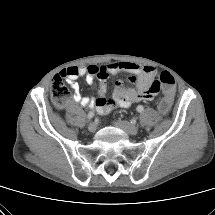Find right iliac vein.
<instances>
[{
	"instance_id": "1",
	"label": "right iliac vein",
	"mask_w": 215,
	"mask_h": 215,
	"mask_svg": "<svg viewBox=\"0 0 215 215\" xmlns=\"http://www.w3.org/2000/svg\"><path fill=\"white\" fill-rule=\"evenodd\" d=\"M88 130H89L90 132H95V131L97 130V124H96V123H90V124L88 125Z\"/></svg>"
}]
</instances>
